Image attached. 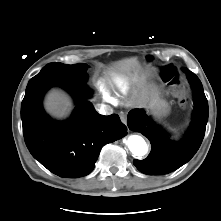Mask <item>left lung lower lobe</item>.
Returning a JSON list of instances; mask_svg holds the SVG:
<instances>
[{
  "mask_svg": "<svg viewBox=\"0 0 221 221\" xmlns=\"http://www.w3.org/2000/svg\"><path fill=\"white\" fill-rule=\"evenodd\" d=\"M192 86L194 95L193 120L184 139L180 142L168 141L162 130L154 124L143 109H134L128 113V127L140 132L151 143V152L143 160H133L134 165L144 174L163 175L170 173L187 163L199 149L208 120V102L198 77L184 69Z\"/></svg>",
  "mask_w": 221,
  "mask_h": 221,
  "instance_id": "left-lung-lower-lobe-1",
  "label": "left lung lower lobe"
}]
</instances>
